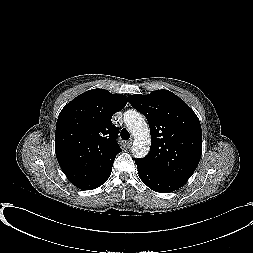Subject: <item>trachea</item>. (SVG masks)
<instances>
[{"instance_id":"trachea-1","label":"trachea","mask_w":253,"mask_h":253,"mask_svg":"<svg viewBox=\"0 0 253 253\" xmlns=\"http://www.w3.org/2000/svg\"><path fill=\"white\" fill-rule=\"evenodd\" d=\"M120 136L124 140H128L130 138V134L125 128L121 130Z\"/></svg>"}]
</instances>
